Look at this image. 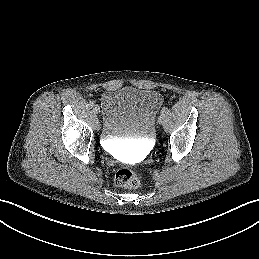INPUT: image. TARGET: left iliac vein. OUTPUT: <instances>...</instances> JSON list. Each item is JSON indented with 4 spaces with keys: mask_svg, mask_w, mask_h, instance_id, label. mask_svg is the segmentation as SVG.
I'll list each match as a JSON object with an SVG mask.
<instances>
[{
    "mask_svg": "<svg viewBox=\"0 0 259 259\" xmlns=\"http://www.w3.org/2000/svg\"><path fill=\"white\" fill-rule=\"evenodd\" d=\"M164 119H165V114H161L158 118V122L159 124H162L164 122Z\"/></svg>",
    "mask_w": 259,
    "mask_h": 259,
    "instance_id": "left-iliac-vein-1",
    "label": "left iliac vein"
}]
</instances>
